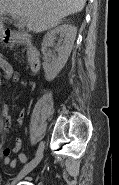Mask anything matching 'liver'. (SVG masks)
I'll return each instance as SVG.
<instances>
[{
  "label": "liver",
  "mask_w": 119,
  "mask_h": 185,
  "mask_svg": "<svg viewBox=\"0 0 119 185\" xmlns=\"http://www.w3.org/2000/svg\"><path fill=\"white\" fill-rule=\"evenodd\" d=\"M86 0H0V14L22 16L30 31L40 33L57 26L68 15L82 11ZM0 30L3 22L0 20Z\"/></svg>",
  "instance_id": "liver-1"
}]
</instances>
